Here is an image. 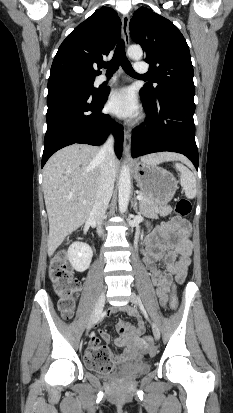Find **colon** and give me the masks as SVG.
Wrapping results in <instances>:
<instances>
[{"label":"colon","mask_w":233,"mask_h":413,"mask_svg":"<svg viewBox=\"0 0 233 413\" xmlns=\"http://www.w3.org/2000/svg\"><path fill=\"white\" fill-rule=\"evenodd\" d=\"M192 211L191 202L182 198L178 200L176 205V212L180 217L188 216ZM49 276L53 283L54 291L58 297V307L63 318L70 319L76 303V295L79 290V282L74 277L71 267L68 264L65 254H58L50 262ZM178 306V299L174 292L171 293L170 307L176 310ZM146 348L152 345V340L149 336L144 339ZM87 363L94 369L100 371H113L114 359L112 353L106 349H100L92 356L86 358Z\"/></svg>","instance_id":"obj_1"}]
</instances>
